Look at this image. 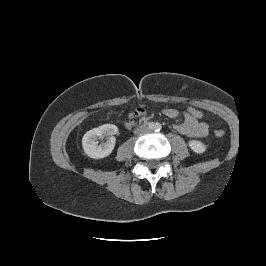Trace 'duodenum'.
Wrapping results in <instances>:
<instances>
[{
    "mask_svg": "<svg viewBox=\"0 0 266 266\" xmlns=\"http://www.w3.org/2000/svg\"><path fill=\"white\" fill-rule=\"evenodd\" d=\"M125 127H126L127 129H131V128L134 127V124H133L132 122H127V123L125 124Z\"/></svg>",
    "mask_w": 266,
    "mask_h": 266,
    "instance_id": "1",
    "label": "duodenum"
}]
</instances>
